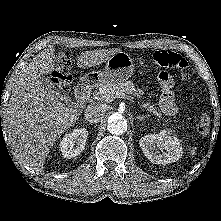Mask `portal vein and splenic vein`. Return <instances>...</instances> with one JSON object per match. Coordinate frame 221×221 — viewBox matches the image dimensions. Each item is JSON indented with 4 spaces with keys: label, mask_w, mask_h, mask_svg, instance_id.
Here are the masks:
<instances>
[{
    "label": "portal vein and splenic vein",
    "mask_w": 221,
    "mask_h": 221,
    "mask_svg": "<svg viewBox=\"0 0 221 221\" xmlns=\"http://www.w3.org/2000/svg\"><path fill=\"white\" fill-rule=\"evenodd\" d=\"M116 97H122V98H124V97H125V94H124V93H121V92H117V93H116Z\"/></svg>",
    "instance_id": "obj_1"
}]
</instances>
